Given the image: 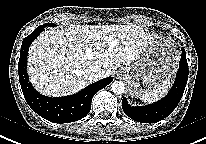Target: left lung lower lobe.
<instances>
[{
	"mask_svg": "<svg viewBox=\"0 0 206 144\" xmlns=\"http://www.w3.org/2000/svg\"><path fill=\"white\" fill-rule=\"evenodd\" d=\"M188 80V64L185 50H182L179 69L170 92L158 102L141 107H132L126 98L122 100L124 113L134 121L141 123H155L166 118L176 108L183 96Z\"/></svg>",
	"mask_w": 206,
	"mask_h": 144,
	"instance_id": "0a47b994",
	"label": "left lung lower lobe"
}]
</instances>
